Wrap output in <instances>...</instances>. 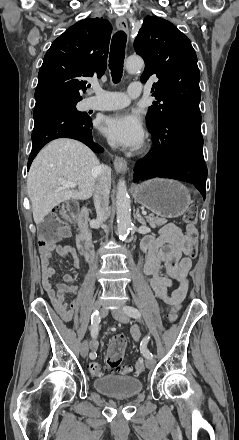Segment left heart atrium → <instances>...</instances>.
Masks as SVG:
<instances>
[{
    "instance_id": "39dd6f15",
    "label": "left heart atrium",
    "mask_w": 239,
    "mask_h": 440,
    "mask_svg": "<svg viewBox=\"0 0 239 440\" xmlns=\"http://www.w3.org/2000/svg\"><path fill=\"white\" fill-rule=\"evenodd\" d=\"M101 131L110 141L131 149L141 147L145 136L139 116L129 112L107 116L102 121Z\"/></svg>"
}]
</instances>
